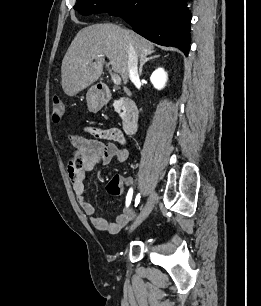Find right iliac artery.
<instances>
[{"label": "right iliac artery", "mask_w": 261, "mask_h": 306, "mask_svg": "<svg viewBox=\"0 0 261 306\" xmlns=\"http://www.w3.org/2000/svg\"><path fill=\"white\" fill-rule=\"evenodd\" d=\"M132 191L130 190L129 191V193H128V195H127V198H126V204L128 205L130 202H131V199H132V193H131ZM140 193L139 194H137V196H136V199H135V207H137L138 206V204H139V202H140Z\"/></svg>", "instance_id": "82829eb1"}]
</instances>
